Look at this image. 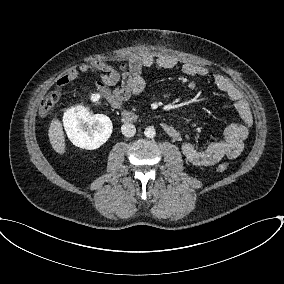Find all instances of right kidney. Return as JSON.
<instances>
[{"instance_id":"right-kidney-1","label":"right kidney","mask_w":284,"mask_h":284,"mask_svg":"<svg viewBox=\"0 0 284 284\" xmlns=\"http://www.w3.org/2000/svg\"><path fill=\"white\" fill-rule=\"evenodd\" d=\"M63 124L70 141L77 147L93 150L104 144L112 133V122L103 114H91L84 106L68 109Z\"/></svg>"}]
</instances>
